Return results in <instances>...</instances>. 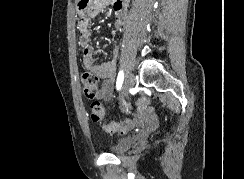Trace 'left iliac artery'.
Segmentation results:
<instances>
[{
  "label": "left iliac artery",
  "instance_id": "1",
  "mask_svg": "<svg viewBox=\"0 0 244 179\" xmlns=\"http://www.w3.org/2000/svg\"><path fill=\"white\" fill-rule=\"evenodd\" d=\"M123 80H124V73L121 70L118 73V77H117V81H116V88H117V90H120L121 89Z\"/></svg>",
  "mask_w": 244,
  "mask_h": 179
}]
</instances>
